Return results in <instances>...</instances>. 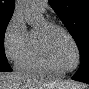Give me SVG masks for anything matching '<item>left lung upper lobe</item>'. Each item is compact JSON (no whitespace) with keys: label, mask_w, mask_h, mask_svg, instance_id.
<instances>
[{"label":"left lung upper lobe","mask_w":89,"mask_h":89,"mask_svg":"<svg viewBox=\"0 0 89 89\" xmlns=\"http://www.w3.org/2000/svg\"><path fill=\"white\" fill-rule=\"evenodd\" d=\"M74 38L81 63L89 62V0H48Z\"/></svg>","instance_id":"left-lung-upper-lobe-1"}]
</instances>
